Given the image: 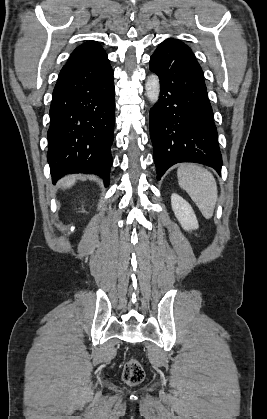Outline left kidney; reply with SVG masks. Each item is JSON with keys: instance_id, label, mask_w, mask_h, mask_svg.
Returning a JSON list of instances; mask_svg holds the SVG:
<instances>
[{"instance_id": "left-kidney-1", "label": "left kidney", "mask_w": 267, "mask_h": 419, "mask_svg": "<svg viewBox=\"0 0 267 419\" xmlns=\"http://www.w3.org/2000/svg\"><path fill=\"white\" fill-rule=\"evenodd\" d=\"M172 210L184 230L198 229V221L191 205L178 194L171 195Z\"/></svg>"}]
</instances>
